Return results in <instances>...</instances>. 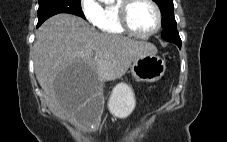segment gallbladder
I'll list each match as a JSON object with an SVG mask.
<instances>
[{
  "instance_id": "bac80fb5",
  "label": "gallbladder",
  "mask_w": 227,
  "mask_h": 142,
  "mask_svg": "<svg viewBox=\"0 0 227 142\" xmlns=\"http://www.w3.org/2000/svg\"><path fill=\"white\" fill-rule=\"evenodd\" d=\"M102 97V93H97L95 98L91 99L80 109V112L76 115L77 119L80 121L93 122L94 124L98 123L104 105Z\"/></svg>"
}]
</instances>
